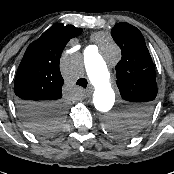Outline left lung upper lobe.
I'll list each match as a JSON object with an SVG mask.
<instances>
[{
    "label": "left lung upper lobe",
    "instance_id": "5c2ea615",
    "mask_svg": "<svg viewBox=\"0 0 174 174\" xmlns=\"http://www.w3.org/2000/svg\"><path fill=\"white\" fill-rule=\"evenodd\" d=\"M111 35L122 54L115 67L116 83L131 110L127 118L113 123L110 129L114 135L128 138L147 124L154 110L157 95L155 65L136 27L120 22L113 27Z\"/></svg>",
    "mask_w": 174,
    "mask_h": 174
}]
</instances>
